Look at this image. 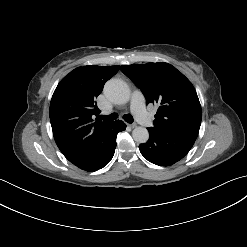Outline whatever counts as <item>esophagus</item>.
Masks as SVG:
<instances>
[{"mask_svg": "<svg viewBox=\"0 0 247 247\" xmlns=\"http://www.w3.org/2000/svg\"><path fill=\"white\" fill-rule=\"evenodd\" d=\"M130 128H135L136 127V124L132 123V124H127Z\"/></svg>", "mask_w": 247, "mask_h": 247, "instance_id": "34e87169", "label": "esophagus"}]
</instances>
